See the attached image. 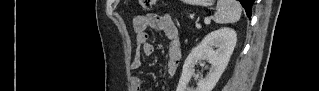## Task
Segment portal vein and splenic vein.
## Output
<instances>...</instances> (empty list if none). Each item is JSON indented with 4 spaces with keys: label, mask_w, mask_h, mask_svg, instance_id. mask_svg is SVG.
<instances>
[{
    "label": "portal vein and splenic vein",
    "mask_w": 319,
    "mask_h": 91,
    "mask_svg": "<svg viewBox=\"0 0 319 91\" xmlns=\"http://www.w3.org/2000/svg\"><path fill=\"white\" fill-rule=\"evenodd\" d=\"M205 23L206 24L210 23V19H205Z\"/></svg>",
    "instance_id": "1"
}]
</instances>
